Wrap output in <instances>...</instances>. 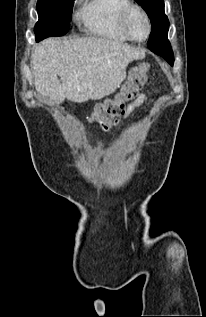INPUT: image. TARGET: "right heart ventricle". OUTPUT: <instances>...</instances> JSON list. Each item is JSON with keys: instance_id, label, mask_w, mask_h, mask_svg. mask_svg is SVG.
<instances>
[{"instance_id": "1", "label": "right heart ventricle", "mask_w": 206, "mask_h": 317, "mask_svg": "<svg viewBox=\"0 0 206 317\" xmlns=\"http://www.w3.org/2000/svg\"><path fill=\"white\" fill-rule=\"evenodd\" d=\"M130 0H88L78 12L86 31L94 36L123 43L128 38L119 28V17Z\"/></svg>"}]
</instances>
